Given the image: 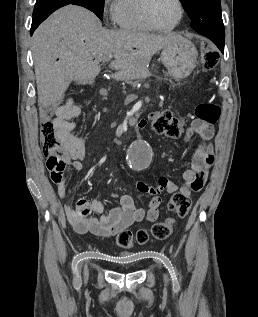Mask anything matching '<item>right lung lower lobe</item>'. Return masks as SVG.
<instances>
[{
  "label": "right lung lower lobe",
  "instance_id": "98d812e1",
  "mask_svg": "<svg viewBox=\"0 0 258 317\" xmlns=\"http://www.w3.org/2000/svg\"><path fill=\"white\" fill-rule=\"evenodd\" d=\"M74 4L91 10L89 0H37L34 11L30 34L55 10L68 5Z\"/></svg>",
  "mask_w": 258,
  "mask_h": 317
}]
</instances>
